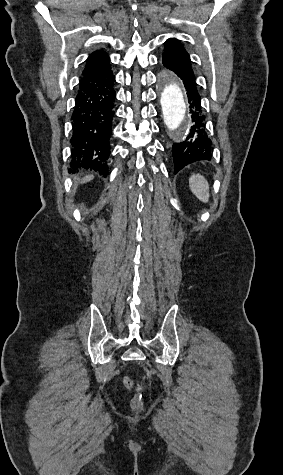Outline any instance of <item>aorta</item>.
I'll return each instance as SVG.
<instances>
[{"instance_id":"obj_1","label":"aorta","mask_w":283,"mask_h":475,"mask_svg":"<svg viewBox=\"0 0 283 475\" xmlns=\"http://www.w3.org/2000/svg\"><path fill=\"white\" fill-rule=\"evenodd\" d=\"M160 78V103L165 126L175 139L182 140L191 126L183 87L175 76L168 73H162Z\"/></svg>"}]
</instances>
